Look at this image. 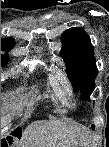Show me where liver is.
Masks as SVG:
<instances>
[{"instance_id": "1", "label": "liver", "mask_w": 109, "mask_h": 147, "mask_svg": "<svg viewBox=\"0 0 109 147\" xmlns=\"http://www.w3.org/2000/svg\"><path fill=\"white\" fill-rule=\"evenodd\" d=\"M88 134L58 120L36 121L24 130L19 147H87Z\"/></svg>"}]
</instances>
